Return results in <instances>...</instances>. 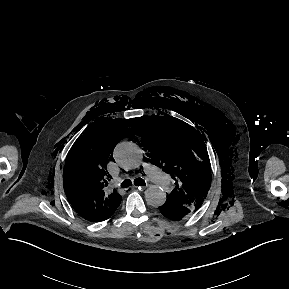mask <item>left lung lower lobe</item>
Masks as SVG:
<instances>
[{
  "label": "left lung lower lobe",
  "instance_id": "left-lung-lower-lobe-1",
  "mask_svg": "<svg viewBox=\"0 0 289 289\" xmlns=\"http://www.w3.org/2000/svg\"><path fill=\"white\" fill-rule=\"evenodd\" d=\"M159 210L166 218L174 221L181 220L193 212L186 206L176 205L170 202H165L159 207Z\"/></svg>",
  "mask_w": 289,
  "mask_h": 289
}]
</instances>
